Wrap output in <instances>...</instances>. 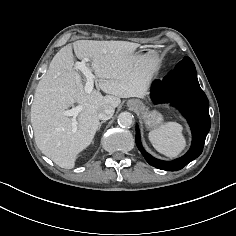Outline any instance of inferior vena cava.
<instances>
[{
    "instance_id": "1",
    "label": "inferior vena cava",
    "mask_w": 236,
    "mask_h": 236,
    "mask_svg": "<svg viewBox=\"0 0 236 236\" xmlns=\"http://www.w3.org/2000/svg\"><path fill=\"white\" fill-rule=\"evenodd\" d=\"M114 114V108L111 106H104L101 111L98 113V118L100 120H108Z\"/></svg>"
}]
</instances>
